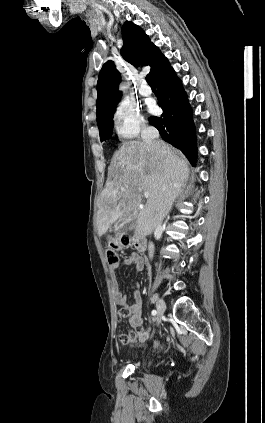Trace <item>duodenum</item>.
Instances as JSON below:
<instances>
[{
	"mask_svg": "<svg viewBox=\"0 0 265 423\" xmlns=\"http://www.w3.org/2000/svg\"><path fill=\"white\" fill-rule=\"evenodd\" d=\"M133 243L138 252L144 253L147 248L146 240L138 233L133 236Z\"/></svg>",
	"mask_w": 265,
	"mask_h": 423,
	"instance_id": "duodenum-1",
	"label": "duodenum"
}]
</instances>
